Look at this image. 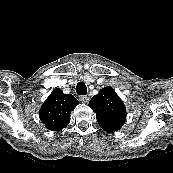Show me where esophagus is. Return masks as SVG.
I'll return each mask as SVG.
<instances>
[{
    "label": "esophagus",
    "mask_w": 173,
    "mask_h": 173,
    "mask_svg": "<svg viewBox=\"0 0 173 173\" xmlns=\"http://www.w3.org/2000/svg\"><path fill=\"white\" fill-rule=\"evenodd\" d=\"M80 101H82V102H84V103H87L88 101H89V96H87V95H82V96H80Z\"/></svg>",
    "instance_id": "1"
}]
</instances>
